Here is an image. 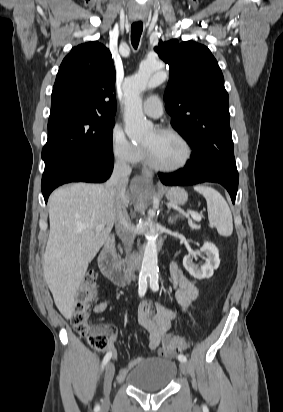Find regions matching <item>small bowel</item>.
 Segmentation results:
<instances>
[{
  "mask_svg": "<svg viewBox=\"0 0 283 412\" xmlns=\"http://www.w3.org/2000/svg\"><path fill=\"white\" fill-rule=\"evenodd\" d=\"M171 283L173 287H178L176 298L180 306L186 309L199 296V289L191 282L181 271L176 263H172L169 269ZM110 304V300L98 303L93 311L97 314L102 313ZM139 324L149 333L148 348L151 351H157L158 355L167 357L173 353H167L160 348V343L164 335L171 327L176 313L164 304L154 305L149 301H142L137 310ZM108 335L107 350L116 356L115 343L118 339V330L113 325L101 326ZM145 360V357H137L123 365L118 372V380L123 381L128 370L139 365Z\"/></svg>",
  "mask_w": 283,
  "mask_h": 412,
  "instance_id": "1",
  "label": "small bowel"
}]
</instances>
